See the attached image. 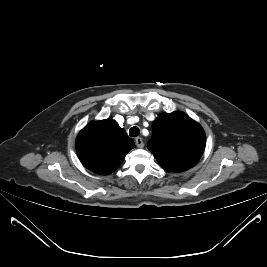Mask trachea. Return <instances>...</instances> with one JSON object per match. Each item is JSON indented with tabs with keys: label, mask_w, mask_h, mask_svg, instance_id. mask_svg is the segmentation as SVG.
Segmentation results:
<instances>
[{
	"label": "trachea",
	"mask_w": 267,
	"mask_h": 267,
	"mask_svg": "<svg viewBox=\"0 0 267 267\" xmlns=\"http://www.w3.org/2000/svg\"><path fill=\"white\" fill-rule=\"evenodd\" d=\"M140 133V130L137 126L131 127L129 130V135L131 137H137Z\"/></svg>",
	"instance_id": "trachea-1"
}]
</instances>
